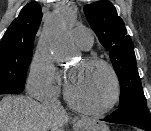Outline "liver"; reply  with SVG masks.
Masks as SVG:
<instances>
[{"label": "liver", "instance_id": "liver-1", "mask_svg": "<svg viewBox=\"0 0 151 131\" xmlns=\"http://www.w3.org/2000/svg\"><path fill=\"white\" fill-rule=\"evenodd\" d=\"M69 117L61 108L47 110L25 96H5L0 101V131H62Z\"/></svg>", "mask_w": 151, "mask_h": 131}]
</instances>
